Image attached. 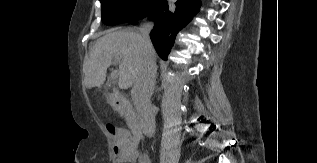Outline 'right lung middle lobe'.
<instances>
[{"label": "right lung middle lobe", "mask_w": 317, "mask_h": 163, "mask_svg": "<svg viewBox=\"0 0 317 163\" xmlns=\"http://www.w3.org/2000/svg\"><path fill=\"white\" fill-rule=\"evenodd\" d=\"M100 2L102 21L113 26L146 17L160 0H100Z\"/></svg>", "instance_id": "right-lung-middle-lobe-1"}]
</instances>
